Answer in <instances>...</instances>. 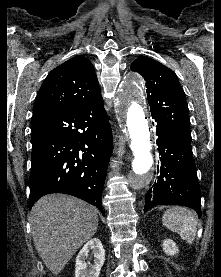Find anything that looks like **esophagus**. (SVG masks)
Returning a JSON list of instances; mask_svg holds the SVG:
<instances>
[{"mask_svg": "<svg viewBox=\"0 0 221 277\" xmlns=\"http://www.w3.org/2000/svg\"><path fill=\"white\" fill-rule=\"evenodd\" d=\"M116 145H117L118 147H120V146L122 145V140L117 141V142H116Z\"/></svg>", "mask_w": 221, "mask_h": 277, "instance_id": "1", "label": "esophagus"}]
</instances>
